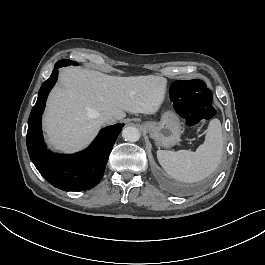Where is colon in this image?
Here are the masks:
<instances>
[{
  "label": "colon",
  "mask_w": 265,
  "mask_h": 265,
  "mask_svg": "<svg viewBox=\"0 0 265 265\" xmlns=\"http://www.w3.org/2000/svg\"><path fill=\"white\" fill-rule=\"evenodd\" d=\"M168 83L166 95L173 100L177 111L183 115L188 125L197 128L215 117L216 109L211 99L213 91L210 90V81L206 76L173 78Z\"/></svg>",
  "instance_id": "colon-1"
}]
</instances>
